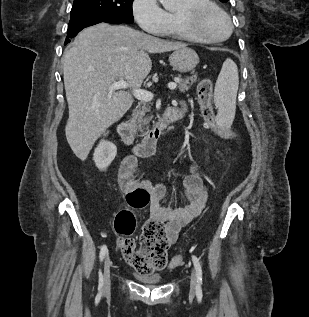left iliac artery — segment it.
I'll use <instances>...</instances> for the list:
<instances>
[{
  "label": "left iliac artery",
  "mask_w": 309,
  "mask_h": 317,
  "mask_svg": "<svg viewBox=\"0 0 309 317\" xmlns=\"http://www.w3.org/2000/svg\"><path fill=\"white\" fill-rule=\"evenodd\" d=\"M192 261L196 270L197 287H198V290H200V287L202 285V267L199 262V259L195 255L192 256Z\"/></svg>",
  "instance_id": "1"
}]
</instances>
